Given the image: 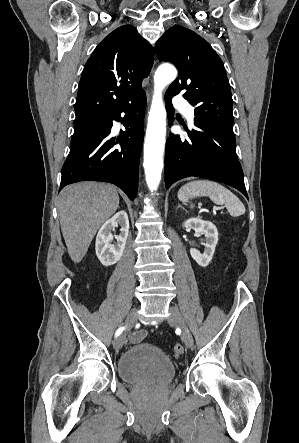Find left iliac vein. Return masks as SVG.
Listing matches in <instances>:
<instances>
[{"mask_svg":"<svg viewBox=\"0 0 299 443\" xmlns=\"http://www.w3.org/2000/svg\"><path fill=\"white\" fill-rule=\"evenodd\" d=\"M169 312H170V315L168 317V322L172 323L182 329V331H183L182 340L184 341L186 347L192 348L193 347V339H192L191 334L189 333V331L186 328V324H185V321H184L181 313L175 307H170Z\"/></svg>","mask_w":299,"mask_h":443,"instance_id":"obj_1","label":"left iliac vein"}]
</instances>
